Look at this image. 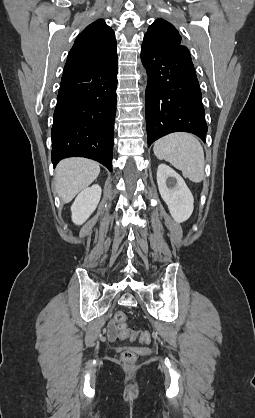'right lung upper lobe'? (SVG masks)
<instances>
[{
  "label": "right lung upper lobe",
  "mask_w": 255,
  "mask_h": 418,
  "mask_svg": "<svg viewBox=\"0 0 255 418\" xmlns=\"http://www.w3.org/2000/svg\"><path fill=\"white\" fill-rule=\"evenodd\" d=\"M117 58L114 31L99 19L88 25L76 38L64 72L108 63Z\"/></svg>",
  "instance_id": "obj_1"
}]
</instances>
